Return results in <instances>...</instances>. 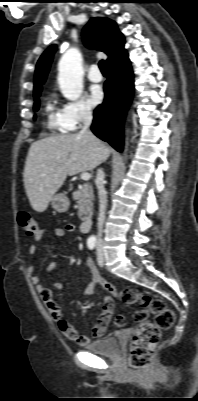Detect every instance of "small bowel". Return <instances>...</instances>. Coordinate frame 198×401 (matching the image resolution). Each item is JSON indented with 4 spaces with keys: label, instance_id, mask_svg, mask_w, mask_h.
<instances>
[{
    "label": "small bowel",
    "instance_id": "obj_1",
    "mask_svg": "<svg viewBox=\"0 0 198 401\" xmlns=\"http://www.w3.org/2000/svg\"><path fill=\"white\" fill-rule=\"evenodd\" d=\"M75 231L73 224H67L64 227H53V228H40L35 236V241L29 247V254L33 259H40V254L37 249V243H39L43 236L47 232H51L53 237L56 239H62L67 233ZM87 265L91 269L92 279L88 288L83 293V297H89L95 287H101L106 290L110 296H106L102 302V311L97 319L96 325L93 327V337L100 338L106 333L107 325L112 317L114 310L113 296L116 294L115 288L104 280L98 270L95 268L93 262L90 259L86 260ZM60 262H51L45 269V273L48 274L56 268L60 267ZM27 271L31 277L32 283L36 287V290L40 294L44 304L46 305L51 317L58 322L61 334L67 339L77 341L81 346H85L90 342V337L81 335L74 326L63 319L62 311L60 307L55 303L53 293L50 289L45 288L42 284L41 277L36 273L33 265L28 266ZM54 287L57 290H62L63 285L57 281L54 283Z\"/></svg>",
    "mask_w": 198,
    "mask_h": 401
}]
</instances>
